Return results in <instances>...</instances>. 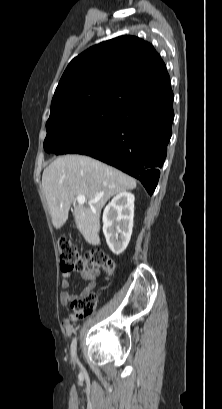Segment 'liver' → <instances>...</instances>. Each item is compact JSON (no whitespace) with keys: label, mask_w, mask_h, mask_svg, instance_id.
Listing matches in <instances>:
<instances>
[{"label":"liver","mask_w":222,"mask_h":409,"mask_svg":"<svg viewBox=\"0 0 222 409\" xmlns=\"http://www.w3.org/2000/svg\"><path fill=\"white\" fill-rule=\"evenodd\" d=\"M136 181L121 171L91 157L65 155L55 159L42 174V187L53 226L60 229L68 218L70 206L77 229L86 242L99 245L100 213L114 195L136 188ZM84 195L85 206L76 197Z\"/></svg>","instance_id":"obj_1"}]
</instances>
